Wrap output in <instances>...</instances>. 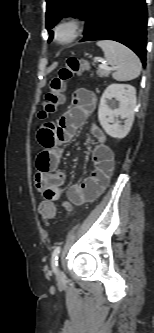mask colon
<instances>
[{
  "label": "colon",
  "instance_id": "colon-1",
  "mask_svg": "<svg viewBox=\"0 0 154 333\" xmlns=\"http://www.w3.org/2000/svg\"><path fill=\"white\" fill-rule=\"evenodd\" d=\"M87 68L84 60L77 58H69L66 64L59 69L58 74L49 82V91L45 95V100L41 110L38 113L40 119L57 112L59 106L64 102L65 84L73 76L80 74ZM40 217L45 223L50 222L56 215V207L54 203L45 200L38 206Z\"/></svg>",
  "mask_w": 154,
  "mask_h": 333
}]
</instances>
